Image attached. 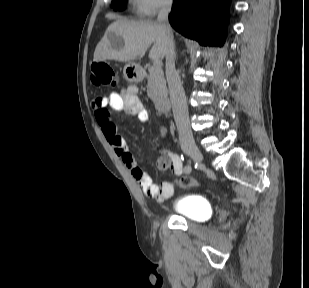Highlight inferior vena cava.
<instances>
[{
    "label": "inferior vena cava",
    "mask_w": 309,
    "mask_h": 288,
    "mask_svg": "<svg viewBox=\"0 0 309 288\" xmlns=\"http://www.w3.org/2000/svg\"><path fill=\"white\" fill-rule=\"evenodd\" d=\"M172 0H166L162 5L157 21L163 29L166 38V78L169 86L170 99L173 115L176 122L179 141L181 145L193 144L194 138L190 131L189 114L185 92L180 77L175 69V49L171 27L168 22V15L171 11Z\"/></svg>",
    "instance_id": "602c4592"
}]
</instances>
